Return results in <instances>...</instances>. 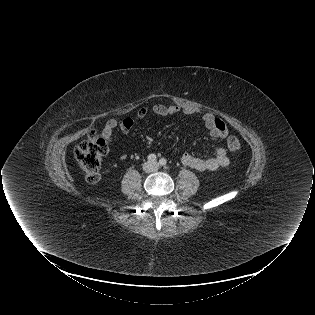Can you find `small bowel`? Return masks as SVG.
Here are the masks:
<instances>
[{"label":"small bowel","instance_id":"small-bowel-1","mask_svg":"<svg viewBox=\"0 0 315 315\" xmlns=\"http://www.w3.org/2000/svg\"><path fill=\"white\" fill-rule=\"evenodd\" d=\"M181 111L185 114L192 113L189 109H181V107L177 105L155 104L151 107H142L133 117H127L121 121H117L115 119L108 120L103 128V132L107 136L111 137L116 128H119L123 132H129L137 121L144 119L150 113L165 118L175 115ZM203 122L212 137L225 138L228 135V129L225 123L218 119L215 115L211 113L205 114L203 116ZM180 161L182 164L198 171H214L220 167H226L230 163L225 148L220 145L215 147L214 154L211 157L200 158L188 152H183L180 155Z\"/></svg>","mask_w":315,"mask_h":315}]
</instances>
